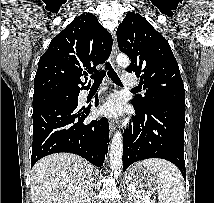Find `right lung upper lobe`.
I'll return each instance as SVG.
<instances>
[{
	"mask_svg": "<svg viewBox=\"0 0 214 203\" xmlns=\"http://www.w3.org/2000/svg\"><path fill=\"white\" fill-rule=\"evenodd\" d=\"M111 50L112 36L96 16L81 14L51 40L40 57L33 99L88 89L86 76L97 72L96 66L108 59Z\"/></svg>",
	"mask_w": 214,
	"mask_h": 203,
	"instance_id": "1",
	"label": "right lung upper lobe"
}]
</instances>
